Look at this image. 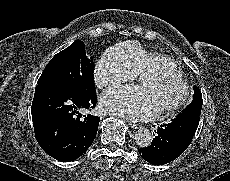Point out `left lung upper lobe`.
<instances>
[{"label":"left lung upper lobe","instance_id":"obj_1","mask_svg":"<svg viewBox=\"0 0 230 181\" xmlns=\"http://www.w3.org/2000/svg\"><path fill=\"white\" fill-rule=\"evenodd\" d=\"M202 104H203V100H202L201 91L199 90L198 87L194 86L193 101L191 104H189V106L185 110L182 111V113L193 112V113L200 115L201 109H202ZM182 113H180V114H182Z\"/></svg>","mask_w":230,"mask_h":181}]
</instances>
